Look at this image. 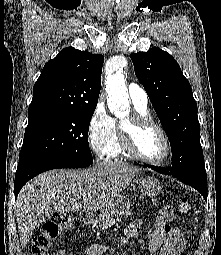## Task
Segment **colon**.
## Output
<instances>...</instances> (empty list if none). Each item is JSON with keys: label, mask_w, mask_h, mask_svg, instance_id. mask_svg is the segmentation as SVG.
Wrapping results in <instances>:
<instances>
[{"label": "colon", "mask_w": 221, "mask_h": 255, "mask_svg": "<svg viewBox=\"0 0 221 255\" xmlns=\"http://www.w3.org/2000/svg\"><path fill=\"white\" fill-rule=\"evenodd\" d=\"M178 209L182 214H189L192 210L190 200L187 197H182L178 201ZM173 211L171 207H164L157 218L156 230L166 231L168 223L172 219ZM73 221L67 213H56L47 221L44 222L42 229L36 235L30 246V255H49L51 241L64 230L72 227ZM58 255H64L60 252Z\"/></svg>", "instance_id": "obj_1"}]
</instances>
